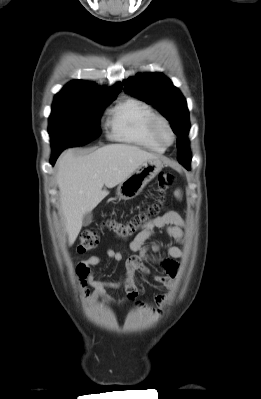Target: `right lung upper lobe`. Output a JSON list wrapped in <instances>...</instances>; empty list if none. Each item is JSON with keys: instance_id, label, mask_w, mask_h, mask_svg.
I'll list each match as a JSON object with an SVG mask.
<instances>
[{"instance_id": "obj_1", "label": "right lung upper lobe", "mask_w": 261, "mask_h": 399, "mask_svg": "<svg viewBox=\"0 0 261 399\" xmlns=\"http://www.w3.org/2000/svg\"><path fill=\"white\" fill-rule=\"evenodd\" d=\"M122 90V84L117 83L116 85L104 89L98 87L94 83H90L84 80H74L69 82L64 88L55 96L58 100H84L93 98H115L118 93Z\"/></svg>"}]
</instances>
